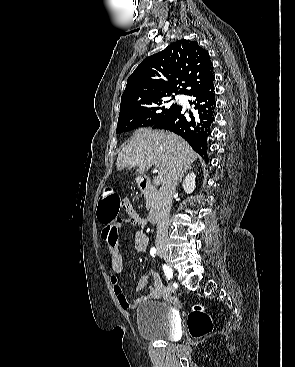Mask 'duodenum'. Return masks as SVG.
Returning <instances> with one entry per match:
<instances>
[{"mask_svg":"<svg viewBox=\"0 0 295 367\" xmlns=\"http://www.w3.org/2000/svg\"><path fill=\"white\" fill-rule=\"evenodd\" d=\"M139 186L143 191L156 193V190H155L154 186L152 185L150 179L147 178V177H140L139 178ZM160 214H161V205L158 201L151 208V210L148 214V221L150 223H155L159 219Z\"/></svg>","mask_w":295,"mask_h":367,"instance_id":"1","label":"duodenum"}]
</instances>
